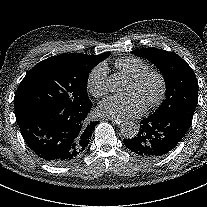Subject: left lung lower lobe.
Wrapping results in <instances>:
<instances>
[{
	"mask_svg": "<svg viewBox=\"0 0 207 207\" xmlns=\"http://www.w3.org/2000/svg\"><path fill=\"white\" fill-rule=\"evenodd\" d=\"M191 125L177 114L150 115L141 121L138 135L125 139V146L145 158H158L174 149Z\"/></svg>",
	"mask_w": 207,
	"mask_h": 207,
	"instance_id": "obj_1",
	"label": "left lung lower lobe"
}]
</instances>
